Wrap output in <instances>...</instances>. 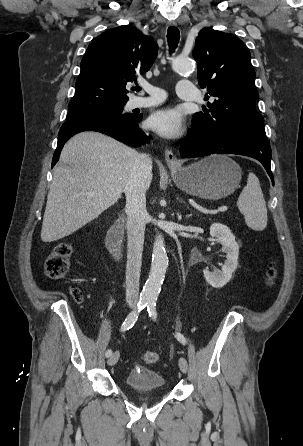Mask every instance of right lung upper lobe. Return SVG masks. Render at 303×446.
I'll list each match as a JSON object with an SVG mask.
<instances>
[{
    "mask_svg": "<svg viewBox=\"0 0 303 446\" xmlns=\"http://www.w3.org/2000/svg\"><path fill=\"white\" fill-rule=\"evenodd\" d=\"M152 37L130 25L109 29L95 38L81 61L76 93L68 109L83 111L125 104L126 85L147 72L157 56Z\"/></svg>",
    "mask_w": 303,
    "mask_h": 446,
    "instance_id": "cb5924a9",
    "label": "right lung upper lobe"
}]
</instances>
